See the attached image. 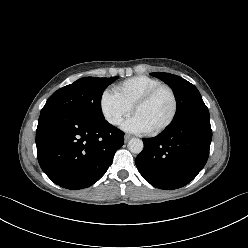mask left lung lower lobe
Returning <instances> with one entry per match:
<instances>
[{
    "label": "left lung lower lobe",
    "instance_id": "left-lung-lower-lobe-1",
    "mask_svg": "<svg viewBox=\"0 0 248 248\" xmlns=\"http://www.w3.org/2000/svg\"><path fill=\"white\" fill-rule=\"evenodd\" d=\"M211 139L209 111H198L171 124L159 136L142 139L144 149L136 158V166L157 188L183 187L205 166Z\"/></svg>",
    "mask_w": 248,
    "mask_h": 248
}]
</instances>
